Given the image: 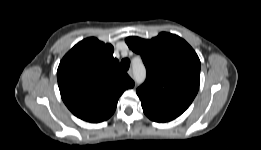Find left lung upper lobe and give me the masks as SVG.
Returning a JSON list of instances; mask_svg holds the SVG:
<instances>
[{"mask_svg": "<svg viewBox=\"0 0 261 150\" xmlns=\"http://www.w3.org/2000/svg\"><path fill=\"white\" fill-rule=\"evenodd\" d=\"M126 43L141 55L147 69V78L137 89L141 104L181 115L195 98L200 83V60L192 47L165 32L151 40L128 37Z\"/></svg>", "mask_w": 261, "mask_h": 150, "instance_id": "obj_1", "label": "left lung upper lobe"}]
</instances>
